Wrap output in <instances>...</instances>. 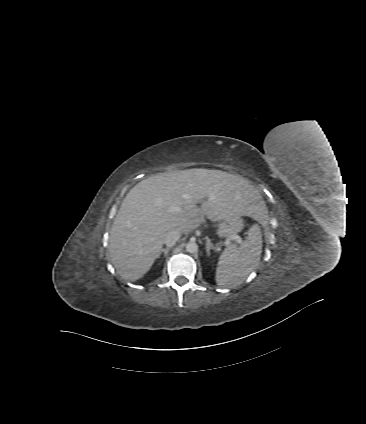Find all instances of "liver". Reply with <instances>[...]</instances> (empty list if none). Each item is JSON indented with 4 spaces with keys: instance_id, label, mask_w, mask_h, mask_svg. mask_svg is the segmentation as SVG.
<instances>
[{
    "instance_id": "liver-1",
    "label": "liver",
    "mask_w": 366,
    "mask_h": 424,
    "mask_svg": "<svg viewBox=\"0 0 366 424\" xmlns=\"http://www.w3.org/2000/svg\"><path fill=\"white\" fill-rule=\"evenodd\" d=\"M171 206L180 211L169 212ZM265 211L259 192L239 175L209 169L154 175L135 185L121 204L110 232L111 262L123 279L136 281L159 257L170 231L190 234L204 217L261 220Z\"/></svg>"
}]
</instances>
